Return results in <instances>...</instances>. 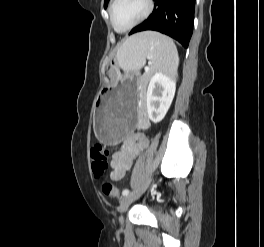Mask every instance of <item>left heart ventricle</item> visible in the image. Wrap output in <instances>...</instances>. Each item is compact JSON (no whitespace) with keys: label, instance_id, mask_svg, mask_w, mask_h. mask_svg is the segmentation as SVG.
Here are the masks:
<instances>
[{"label":"left heart ventricle","instance_id":"left-heart-ventricle-1","mask_svg":"<svg viewBox=\"0 0 264 247\" xmlns=\"http://www.w3.org/2000/svg\"><path fill=\"white\" fill-rule=\"evenodd\" d=\"M146 10V0H118L114 8V21L119 28L136 22Z\"/></svg>","mask_w":264,"mask_h":247}]
</instances>
